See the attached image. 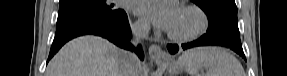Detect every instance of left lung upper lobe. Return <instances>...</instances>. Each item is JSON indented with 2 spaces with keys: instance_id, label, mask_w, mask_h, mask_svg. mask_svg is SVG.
<instances>
[{
  "instance_id": "left-lung-upper-lobe-1",
  "label": "left lung upper lobe",
  "mask_w": 287,
  "mask_h": 76,
  "mask_svg": "<svg viewBox=\"0 0 287 76\" xmlns=\"http://www.w3.org/2000/svg\"><path fill=\"white\" fill-rule=\"evenodd\" d=\"M191 1L207 14L209 20L207 33L216 37L240 42L235 0Z\"/></svg>"
}]
</instances>
